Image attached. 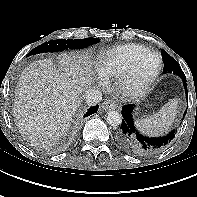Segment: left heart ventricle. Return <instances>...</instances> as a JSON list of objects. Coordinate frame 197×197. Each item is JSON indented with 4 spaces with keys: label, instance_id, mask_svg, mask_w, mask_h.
I'll use <instances>...</instances> for the list:
<instances>
[{
    "label": "left heart ventricle",
    "instance_id": "obj_1",
    "mask_svg": "<svg viewBox=\"0 0 197 197\" xmlns=\"http://www.w3.org/2000/svg\"><path fill=\"white\" fill-rule=\"evenodd\" d=\"M158 58L154 55L148 56L143 59L137 66L134 74V83L137 86L145 83L157 70Z\"/></svg>",
    "mask_w": 197,
    "mask_h": 197
}]
</instances>
